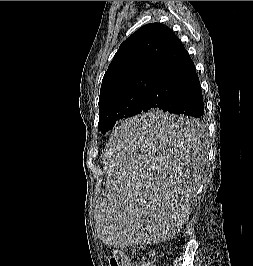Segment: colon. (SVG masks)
Returning a JSON list of instances; mask_svg holds the SVG:
<instances>
[{
	"mask_svg": "<svg viewBox=\"0 0 253 266\" xmlns=\"http://www.w3.org/2000/svg\"><path fill=\"white\" fill-rule=\"evenodd\" d=\"M156 258L153 254H147L139 266H154ZM110 266H129L127 256L121 251H115L109 258Z\"/></svg>",
	"mask_w": 253,
	"mask_h": 266,
	"instance_id": "obj_1",
	"label": "colon"
}]
</instances>
